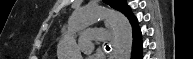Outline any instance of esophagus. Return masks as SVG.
Segmentation results:
<instances>
[{
	"instance_id": "1",
	"label": "esophagus",
	"mask_w": 193,
	"mask_h": 59,
	"mask_svg": "<svg viewBox=\"0 0 193 59\" xmlns=\"http://www.w3.org/2000/svg\"><path fill=\"white\" fill-rule=\"evenodd\" d=\"M105 24H106V27L110 28L109 22L106 21Z\"/></svg>"
}]
</instances>
